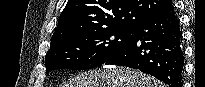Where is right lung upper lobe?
I'll use <instances>...</instances> for the list:
<instances>
[{
    "label": "right lung upper lobe",
    "instance_id": "cb5924a9",
    "mask_svg": "<svg viewBox=\"0 0 205 87\" xmlns=\"http://www.w3.org/2000/svg\"><path fill=\"white\" fill-rule=\"evenodd\" d=\"M171 5L170 0H68L51 43L100 29H135Z\"/></svg>",
    "mask_w": 205,
    "mask_h": 87
}]
</instances>
